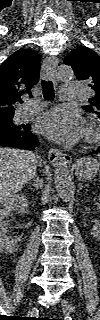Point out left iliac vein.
<instances>
[{
	"mask_svg": "<svg viewBox=\"0 0 100 320\" xmlns=\"http://www.w3.org/2000/svg\"><path fill=\"white\" fill-rule=\"evenodd\" d=\"M62 308L64 311L68 312L69 314L74 313V308L71 306V304L67 300L62 301Z\"/></svg>",
	"mask_w": 100,
	"mask_h": 320,
	"instance_id": "1",
	"label": "left iliac vein"
}]
</instances>
